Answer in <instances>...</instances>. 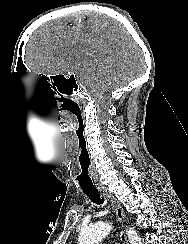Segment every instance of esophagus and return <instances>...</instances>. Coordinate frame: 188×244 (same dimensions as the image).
<instances>
[{
	"instance_id": "esophagus-1",
	"label": "esophagus",
	"mask_w": 188,
	"mask_h": 244,
	"mask_svg": "<svg viewBox=\"0 0 188 244\" xmlns=\"http://www.w3.org/2000/svg\"><path fill=\"white\" fill-rule=\"evenodd\" d=\"M102 195L112 203V205L115 209V213H116L118 221L121 224H123V222L125 221V214H124L123 207L120 205V203L114 198V196L109 191L103 190ZM120 239L122 241V244H128L126 234L123 230H121V232H120Z\"/></svg>"
}]
</instances>
